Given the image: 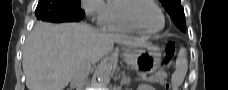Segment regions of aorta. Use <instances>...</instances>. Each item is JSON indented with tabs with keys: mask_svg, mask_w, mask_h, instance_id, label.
Instances as JSON below:
<instances>
[{
	"mask_svg": "<svg viewBox=\"0 0 228 90\" xmlns=\"http://www.w3.org/2000/svg\"><path fill=\"white\" fill-rule=\"evenodd\" d=\"M112 72V64L108 60H104L99 65L96 76L99 83H105L109 80Z\"/></svg>",
	"mask_w": 228,
	"mask_h": 90,
	"instance_id": "1",
	"label": "aorta"
}]
</instances>
